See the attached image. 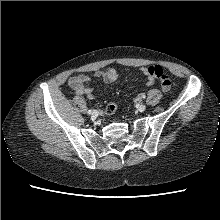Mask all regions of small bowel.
<instances>
[{"instance_id": "1", "label": "small bowel", "mask_w": 220, "mask_h": 220, "mask_svg": "<svg viewBox=\"0 0 220 220\" xmlns=\"http://www.w3.org/2000/svg\"><path fill=\"white\" fill-rule=\"evenodd\" d=\"M149 67H142L140 72L146 78V84L152 85L155 81V77L148 72ZM96 77L103 79L107 83L114 82L117 79V72L115 69H108L106 71H98L95 74ZM90 82V77L84 74L71 76L68 80L69 87L77 94L86 96L88 99H94V91L91 87L87 86Z\"/></svg>"}]
</instances>
